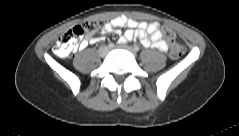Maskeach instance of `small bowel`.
I'll list each match as a JSON object with an SVG mask.
<instances>
[{"label": "small bowel", "mask_w": 239, "mask_h": 136, "mask_svg": "<svg viewBox=\"0 0 239 136\" xmlns=\"http://www.w3.org/2000/svg\"><path fill=\"white\" fill-rule=\"evenodd\" d=\"M118 28H127V30L123 33L118 32L119 43L139 40L143 46L152 47L161 52H165L168 48L167 42L163 39L160 24L157 22H138L121 15L106 23L103 26L102 33H111ZM101 40V37H92L85 40L82 43V46L84 47L87 44H97Z\"/></svg>", "instance_id": "small-bowel-1"}]
</instances>
